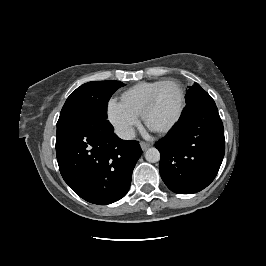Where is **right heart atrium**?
<instances>
[{
	"mask_svg": "<svg viewBox=\"0 0 266 266\" xmlns=\"http://www.w3.org/2000/svg\"><path fill=\"white\" fill-rule=\"evenodd\" d=\"M106 115L115 131L124 138H130L139 123V116L122 101L110 98L106 105Z\"/></svg>",
	"mask_w": 266,
	"mask_h": 266,
	"instance_id": "obj_1",
	"label": "right heart atrium"
}]
</instances>
